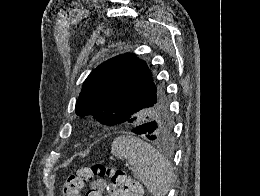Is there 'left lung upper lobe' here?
I'll return each mask as SVG.
<instances>
[{
	"instance_id": "1",
	"label": "left lung upper lobe",
	"mask_w": 260,
	"mask_h": 196,
	"mask_svg": "<svg viewBox=\"0 0 260 196\" xmlns=\"http://www.w3.org/2000/svg\"><path fill=\"white\" fill-rule=\"evenodd\" d=\"M118 106L134 108V114L125 122L130 128L152 122L151 140L173 142V118L166 92L147 63L131 53L111 58L91 72L83 83L75 112L98 119L104 110Z\"/></svg>"
}]
</instances>
